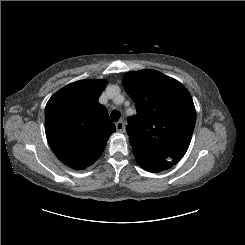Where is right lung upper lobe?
<instances>
[{
	"instance_id": "right-lung-upper-lobe-1",
	"label": "right lung upper lobe",
	"mask_w": 245,
	"mask_h": 245,
	"mask_svg": "<svg viewBox=\"0 0 245 245\" xmlns=\"http://www.w3.org/2000/svg\"><path fill=\"white\" fill-rule=\"evenodd\" d=\"M105 85V80H80L56 92L46 104L47 141L57 158L76 170L92 165L115 132L98 102Z\"/></svg>"
}]
</instances>
